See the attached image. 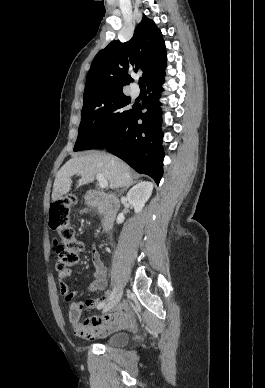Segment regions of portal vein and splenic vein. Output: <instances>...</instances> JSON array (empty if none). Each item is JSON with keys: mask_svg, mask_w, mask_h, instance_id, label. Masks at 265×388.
I'll use <instances>...</instances> for the list:
<instances>
[{"mask_svg": "<svg viewBox=\"0 0 265 388\" xmlns=\"http://www.w3.org/2000/svg\"><path fill=\"white\" fill-rule=\"evenodd\" d=\"M81 176H83V172H81ZM96 178L99 182L100 188H108V182H107V180H105V178H104V176H102V174H97Z\"/></svg>", "mask_w": 265, "mask_h": 388, "instance_id": "18ae733b", "label": "portal vein and splenic vein"}]
</instances>
